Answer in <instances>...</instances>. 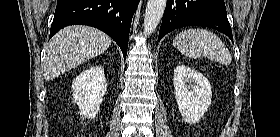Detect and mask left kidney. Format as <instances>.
I'll list each match as a JSON object with an SVG mask.
<instances>
[{
	"instance_id": "left-kidney-1",
	"label": "left kidney",
	"mask_w": 280,
	"mask_h": 137,
	"mask_svg": "<svg viewBox=\"0 0 280 137\" xmlns=\"http://www.w3.org/2000/svg\"><path fill=\"white\" fill-rule=\"evenodd\" d=\"M173 84L178 108L184 121L196 124L211 105L212 90L206 77L188 66L174 69Z\"/></svg>"
}]
</instances>
